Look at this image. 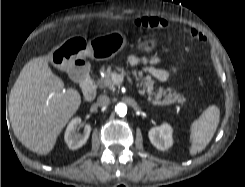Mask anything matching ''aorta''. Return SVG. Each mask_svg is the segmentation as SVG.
Instances as JSON below:
<instances>
[{"label": "aorta", "mask_w": 245, "mask_h": 187, "mask_svg": "<svg viewBox=\"0 0 245 187\" xmlns=\"http://www.w3.org/2000/svg\"><path fill=\"white\" fill-rule=\"evenodd\" d=\"M115 111H116V113L119 116H121V117L125 116L126 113H127V106H126V104H124V103L117 104L116 107H115Z\"/></svg>", "instance_id": "aorta-1"}]
</instances>
